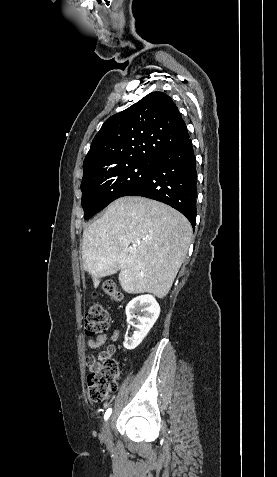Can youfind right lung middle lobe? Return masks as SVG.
Here are the masks:
<instances>
[{"label": "right lung middle lobe", "mask_w": 277, "mask_h": 477, "mask_svg": "<svg viewBox=\"0 0 277 477\" xmlns=\"http://www.w3.org/2000/svg\"><path fill=\"white\" fill-rule=\"evenodd\" d=\"M153 162H130L108 169L84 171L81 182L84 218L125 196L151 171Z\"/></svg>", "instance_id": "dd1d6c3e"}]
</instances>
